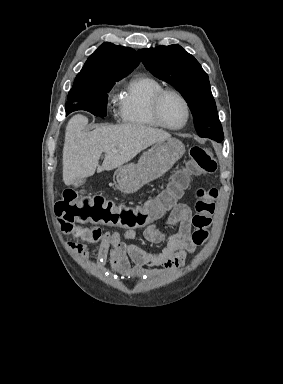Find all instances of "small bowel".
<instances>
[{
    "label": "small bowel",
    "mask_w": 283,
    "mask_h": 384,
    "mask_svg": "<svg viewBox=\"0 0 283 384\" xmlns=\"http://www.w3.org/2000/svg\"><path fill=\"white\" fill-rule=\"evenodd\" d=\"M191 222V209L185 204H177L169 215L165 228L149 224L143 233L145 239L153 244L166 243L165 248L158 254L147 252L131 243L136 237L135 230H125L123 235H120L117 232H103L97 227H67L60 222L59 224L62 231L82 241L68 244L69 249L82 260L89 256L85 243H99V264H104L110 258L115 273L127 280H137L151 276L150 272L143 269L146 266H160L171 270L185 264L187 257L196 249L191 237Z\"/></svg>",
    "instance_id": "obj_1"
}]
</instances>
